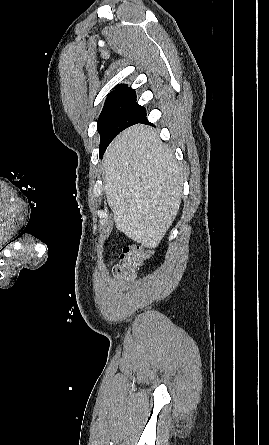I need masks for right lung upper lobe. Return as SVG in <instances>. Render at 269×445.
<instances>
[{"label": "right lung upper lobe", "mask_w": 269, "mask_h": 445, "mask_svg": "<svg viewBox=\"0 0 269 445\" xmlns=\"http://www.w3.org/2000/svg\"><path fill=\"white\" fill-rule=\"evenodd\" d=\"M124 90H132V89L130 87H128L126 84H120V85H117L115 87V90H113L112 92L124 91Z\"/></svg>", "instance_id": "obj_1"}]
</instances>
